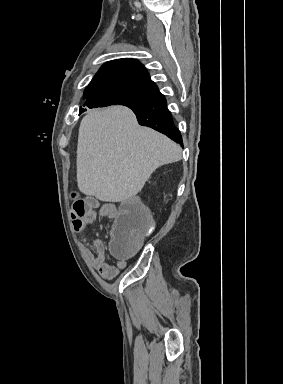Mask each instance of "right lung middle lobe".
Returning <instances> with one entry per match:
<instances>
[{
  "label": "right lung middle lobe",
  "instance_id": "right-lung-middle-lobe-1",
  "mask_svg": "<svg viewBox=\"0 0 283 384\" xmlns=\"http://www.w3.org/2000/svg\"><path fill=\"white\" fill-rule=\"evenodd\" d=\"M159 92L147 91L121 85H99L87 87L84 92L85 105L89 108L104 107L114 104L128 107H144L152 104ZM84 109L80 108V112Z\"/></svg>",
  "mask_w": 283,
  "mask_h": 384
}]
</instances>
